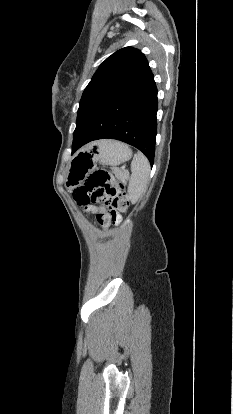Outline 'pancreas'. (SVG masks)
<instances>
[{
	"label": "pancreas",
	"instance_id": "cf45deb5",
	"mask_svg": "<svg viewBox=\"0 0 233 414\" xmlns=\"http://www.w3.org/2000/svg\"><path fill=\"white\" fill-rule=\"evenodd\" d=\"M115 174L118 178H121V179H124V180L128 179V173L126 171H124V172L116 171Z\"/></svg>",
	"mask_w": 233,
	"mask_h": 414
}]
</instances>
